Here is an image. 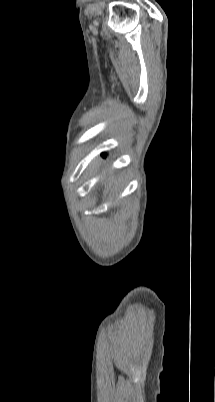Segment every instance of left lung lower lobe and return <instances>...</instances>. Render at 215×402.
<instances>
[{
	"label": "left lung lower lobe",
	"mask_w": 215,
	"mask_h": 402,
	"mask_svg": "<svg viewBox=\"0 0 215 402\" xmlns=\"http://www.w3.org/2000/svg\"><path fill=\"white\" fill-rule=\"evenodd\" d=\"M103 157H106V154H103Z\"/></svg>",
	"instance_id": "obj_1"
}]
</instances>
